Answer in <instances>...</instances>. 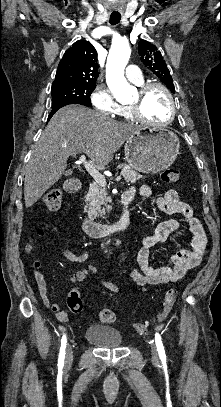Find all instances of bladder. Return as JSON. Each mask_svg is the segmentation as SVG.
Returning <instances> with one entry per match:
<instances>
[{"label":"bladder","instance_id":"obj_1","mask_svg":"<svg viewBox=\"0 0 221 407\" xmlns=\"http://www.w3.org/2000/svg\"><path fill=\"white\" fill-rule=\"evenodd\" d=\"M84 336L85 340L100 347H118L123 341L121 332L109 325H91Z\"/></svg>","mask_w":221,"mask_h":407}]
</instances>
